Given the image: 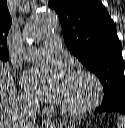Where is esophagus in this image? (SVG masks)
Instances as JSON below:
<instances>
[{
  "label": "esophagus",
  "instance_id": "34e87169",
  "mask_svg": "<svg viewBox=\"0 0 125 128\" xmlns=\"http://www.w3.org/2000/svg\"><path fill=\"white\" fill-rule=\"evenodd\" d=\"M43 125L45 126V127H53V123L50 121V120H44L43 121Z\"/></svg>",
  "mask_w": 125,
  "mask_h": 128
}]
</instances>
